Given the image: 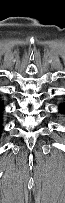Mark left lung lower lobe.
Wrapping results in <instances>:
<instances>
[{
    "label": "left lung lower lobe",
    "mask_w": 65,
    "mask_h": 203,
    "mask_svg": "<svg viewBox=\"0 0 65 203\" xmlns=\"http://www.w3.org/2000/svg\"><path fill=\"white\" fill-rule=\"evenodd\" d=\"M59 111L65 115V103L60 106Z\"/></svg>",
    "instance_id": "1"
}]
</instances>
